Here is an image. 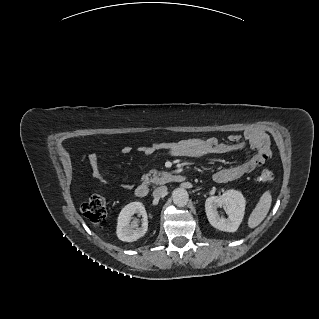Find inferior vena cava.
<instances>
[{
	"label": "inferior vena cava",
	"mask_w": 319,
	"mask_h": 319,
	"mask_svg": "<svg viewBox=\"0 0 319 319\" xmlns=\"http://www.w3.org/2000/svg\"><path fill=\"white\" fill-rule=\"evenodd\" d=\"M167 192L166 186H159L153 191V197L155 199H160L161 196H163Z\"/></svg>",
	"instance_id": "602c4592"
}]
</instances>
